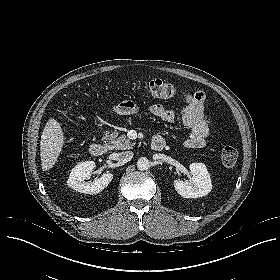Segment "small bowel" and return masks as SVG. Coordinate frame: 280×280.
<instances>
[{
	"instance_id": "obj_1",
	"label": "small bowel",
	"mask_w": 280,
	"mask_h": 280,
	"mask_svg": "<svg viewBox=\"0 0 280 280\" xmlns=\"http://www.w3.org/2000/svg\"><path fill=\"white\" fill-rule=\"evenodd\" d=\"M182 97L186 103L180 110L183 125L190 131L185 141V146L199 149L206 146L210 134V121L205 113L206 93L196 90L192 93L183 92ZM120 106L113 109V114L122 115ZM136 107L134 106V111ZM149 112L166 123H173L176 119L174 109L162 104H153ZM160 137V136H157Z\"/></svg>"
}]
</instances>
